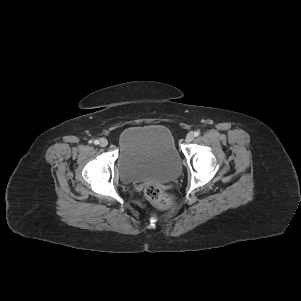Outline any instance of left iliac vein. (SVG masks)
Listing matches in <instances>:
<instances>
[{
	"instance_id": "obj_1",
	"label": "left iliac vein",
	"mask_w": 301,
	"mask_h": 301,
	"mask_svg": "<svg viewBox=\"0 0 301 301\" xmlns=\"http://www.w3.org/2000/svg\"><path fill=\"white\" fill-rule=\"evenodd\" d=\"M193 139H194L193 133H188L187 136H186V141L187 142H192Z\"/></svg>"
}]
</instances>
